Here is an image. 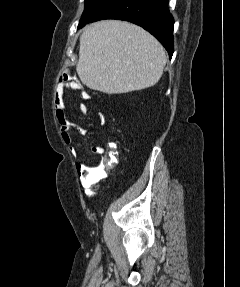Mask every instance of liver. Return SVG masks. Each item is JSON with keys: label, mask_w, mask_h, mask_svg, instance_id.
Returning a JSON list of instances; mask_svg holds the SVG:
<instances>
[{"label": "liver", "mask_w": 240, "mask_h": 287, "mask_svg": "<svg viewBox=\"0 0 240 287\" xmlns=\"http://www.w3.org/2000/svg\"><path fill=\"white\" fill-rule=\"evenodd\" d=\"M165 64L164 48L150 33L125 21L104 20L84 29L76 71L88 88L118 94L155 85Z\"/></svg>", "instance_id": "obj_1"}]
</instances>
